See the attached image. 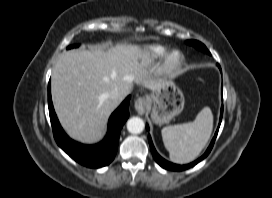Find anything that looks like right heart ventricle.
Here are the masks:
<instances>
[{"label": "right heart ventricle", "mask_w": 272, "mask_h": 198, "mask_svg": "<svg viewBox=\"0 0 272 198\" xmlns=\"http://www.w3.org/2000/svg\"><path fill=\"white\" fill-rule=\"evenodd\" d=\"M167 51H168L167 47L154 44L146 47L143 54L147 60L153 61L163 58Z\"/></svg>", "instance_id": "right-heart-ventricle-1"}]
</instances>
